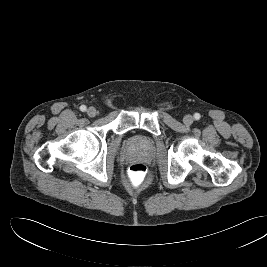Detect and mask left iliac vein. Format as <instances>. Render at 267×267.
Returning a JSON list of instances; mask_svg holds the SVG:
<instances>
[{
  "mask_svg": "<svg viewBox=\"0 0 267 267\" xmlns=\"http://www.w3.org/2000/svg\"><path fill=\"white\" fill-rule=\"evenodd\" d=\"M194 121V118L191 115H185L183 118V122L186 125H191Z\"/></svg>",
  "mask_w": 267,
  "mask_h": 267,
  "instance_id": "4c4485c4",
  "label": "left iliac vein"
}]
</instances>
